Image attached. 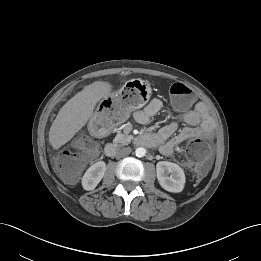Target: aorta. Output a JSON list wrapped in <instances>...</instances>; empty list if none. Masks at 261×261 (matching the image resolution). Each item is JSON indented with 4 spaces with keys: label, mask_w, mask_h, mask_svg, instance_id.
Masks as SVG:
<instances>
[{
    "label": "aorta",
    "mask_w": 261,
    "mask_h": 261,
    "mask_svg": "<svg viewBox=\"0 0 261 261\" xmlns=\"http://www.w3.org/2000/svg\"><path fill=\"white\" fill-rule=\"evenodd\" d=\"M135 154L137 157H143L146 154V149L143 147H139L135 150Z\"/></svg>",
    "instance_id": "obj_1"
}]
</instances>
